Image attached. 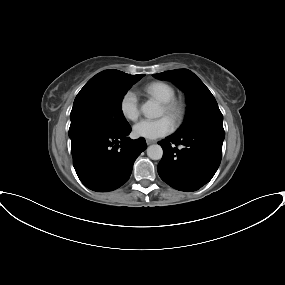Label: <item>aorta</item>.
I'll list each match as a JSON object with an SVG mask.
<instances>
[{"label": "aorta", "instance_id": "1", "mask_svg": "<svg viewBox=\"0 0 285 285\" xmlns=\"http://www.w3.org/2000/svg\"><path fill=\"white\" fill-rule=\"evenodd\" d=\"M141 110L147 118H158L162 115V110L159 104L155 101L148 100L145 102ZM147 156L152 160H160L163 156V149L158 144L150 145L147 148Z\"/></svg>", "mask_w": 285, "mask_h": 285}]
</instances>
